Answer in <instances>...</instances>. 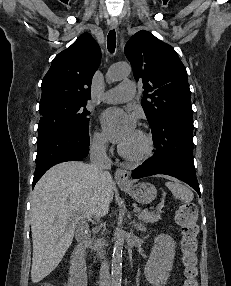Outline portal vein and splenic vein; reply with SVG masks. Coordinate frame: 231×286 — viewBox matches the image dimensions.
Returning <instances> with one entry per match:
<instances>
[{"label": "portal vein and splenic vein", "mask_w": 231, "mask_h": 286, "mask_svg": "<svg viewBox=\"0 0 231 286\" xmlns=\"http://www.w3.org/2000/svg\"><path fill=\"white\" fill-rule=\"evenodd\" d=\"M133 212H135V213L140 212V208H135V209L133 210Z\"/></svg>", "instance_id": "18ae733b"}]
</instances>
